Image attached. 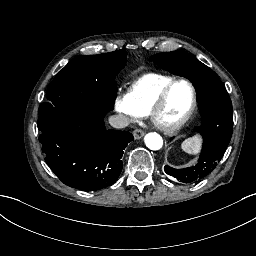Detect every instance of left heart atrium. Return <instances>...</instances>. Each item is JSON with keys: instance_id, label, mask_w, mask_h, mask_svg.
Segmentation results:
<instances>
[{"instance_id": "left-heart-atrium-1", "label": "left heart atrium", "mask_w": 256, "mask_h": 256, "mask_svg": "<svg viewBox=\"0 0 256 256\" xmlns=\"http://www.w3.org/2000/svg\"><path fill=\"white\" fill-rule=\"evenodd\" d=\"M152 121H153V123H154L157 127L163 128L162 124H161L158 120H156L154 117L152 118Z\"/></svg>"}]
</instances>
